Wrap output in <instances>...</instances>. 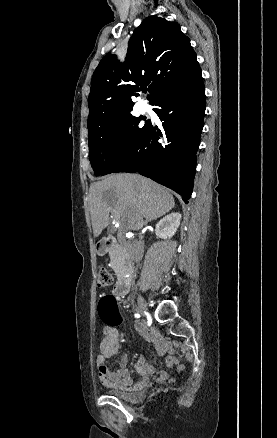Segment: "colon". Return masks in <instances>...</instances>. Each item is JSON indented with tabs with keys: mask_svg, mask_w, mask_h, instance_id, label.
<instances>
[{
	"mask_svg": "<svg viewBox=\"0 0 277 438\" xmlns=\"http://www.w3.org/2000/svg\"><path fill=\"white\" fill-rule=\"evenodd\" d=\"M113 281H114L113 276L108 271V269L105 266H100L96 273L97 286L99 288L109 287L113 283Z\"/></svg>",
	"mask_w": 277,
	"mask_h": 438,
	"instance_id": "5ec220e1",
	"label": "colon"
}]
</instances>
